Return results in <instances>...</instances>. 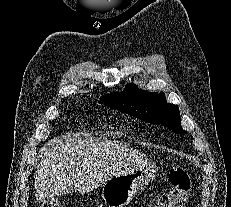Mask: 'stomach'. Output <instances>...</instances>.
<instances>
[{
  "label": "stomach",
  "mask_w": 231,
  "mask_h": 207,
  "mask_svg": "<svg viewBox=\"0 0 231 207\" xmlns=\"http://www.w3.org/2000/svg\"><path fill=\"white\" fill-rule=\"evenodd\" d=\"M156 165L142 160L118 171L102 185V199L107 207H125L135 194L145 188L155 177Z\"/></svg>",
  "instance_id": "stomach-1"
}]
</instances>
